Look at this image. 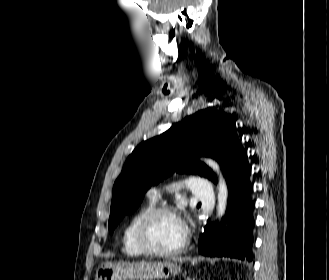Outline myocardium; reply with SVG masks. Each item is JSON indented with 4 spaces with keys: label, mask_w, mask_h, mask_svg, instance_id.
<instances>
[{
    "label": "myocardium",
    "mask_w": 329,
    "mask_h": 280,
    "mask_svg": "<svg viewBox=\"0 0 329 280\" xmlns=\"http://www.w3.org/2000/svg\"><path fill=\"white\" fill-rule=\"evenodd\" d=\"M162 214H170L177 216V212L173 207L161 205L157 207H153L150 209L138 222L136 230H135V239L138 246L141 250L149 255L153 256H173L181 253L187 246L188 237L185 234L182 242L171 249H159L157 248L150 239V227L152 222Z\"/></svg>",
    "instance_id": "f54148a6"
}]
</instances>
